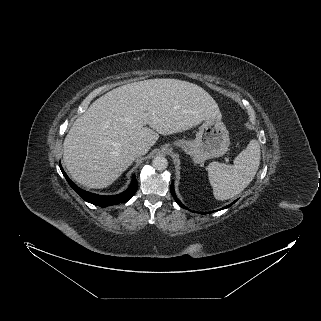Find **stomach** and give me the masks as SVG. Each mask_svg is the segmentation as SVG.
I'll return each instance as SVG.
<instances>
[{
  "label": "stomach",
  "instance_id": "1",
  "mask_svg": "<svg viewBox=\"0 0 321 321\" xmlns=\"http://www.w3.org/2000/svg\"><path fill=\"white\" fill-rule=\"evenodd\" d=\"M229 144V133L221 119L217 118L203 120L194 140H178L174 143L192 156L197 164L224 155Z\"/></svg>",
  "mask_w": 321,
  "mask_h": 321
}]
</instances>
